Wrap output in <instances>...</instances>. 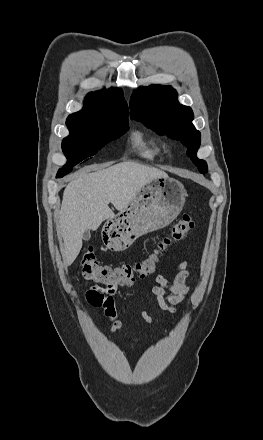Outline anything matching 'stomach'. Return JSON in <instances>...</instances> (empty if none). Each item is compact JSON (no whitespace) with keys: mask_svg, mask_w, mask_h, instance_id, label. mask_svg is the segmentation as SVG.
<instances>
[{"mask_svg":"<svg viewBox=\"0 0 263 440\" xmlns=\"http://www.w3.org/2000/svg\"><path fill=\"white\" fill-rule=\"evenodd\" d=\"M186 196L183 184L174 178L152 180L124 210L107 219L102 231L105 244L123 251L140 236L166 227L182 211Z\"/></svg>","mask_w":263,"mask_h":440,"instance_id":"obj_1","label":"stomach"}]
</instances>
